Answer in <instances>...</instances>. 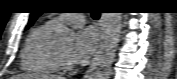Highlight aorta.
I'll return each instance as SVG.
<instances>
[{"label":"aorta","instance_id":"aorta-1","mask_svg":"<svg viewBox=\"0 0 177 79\" xmlns=\"http://www.w3.org/2000/svg\"><path fill=\"white\" fill-rule=\"evenodd\" d=\"M103 18L105 35L93 79H109L122 29V13H105ZM55 36L60 43L74 40V32L67 27L60 28Z\"/></svg>","mask_w":177,"mask_h":79}]
</instances>
